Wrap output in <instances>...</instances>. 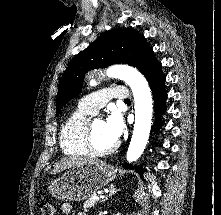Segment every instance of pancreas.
<instances>
[{
	"instance_id": "1",
	"label": "pancreas",
	"mask_w": 221,
	"mask_h": 215,
	"mask_svg": "<svg viewBox=\"0 0 221 215\" xmlns=\"http://www.w3.org/2000/svg\"><path fill=\"white\" fill-rule=\"evenodd\" d=\"M96 195H92L88 200L85 201V203L83 204V208L85 210H87L90 207H93L96 203V200L93 199V197Z\"/></svg>"
}]
</instances>
